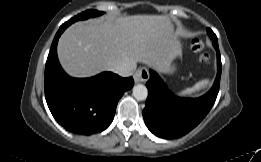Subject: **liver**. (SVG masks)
<instances>
[{
    "label": "liver",
    "mask_w": 261,
    "mask_h": 162,
    "mask_svg": "<svg viewBox=\"0 0 261 162\" xmlns=\"http://www.w3.org/2000/svg\"><path fill=\"white\" fill-rule=\"evenodd\" d=\"M178 44L168 17L132 15L77 22L63 33L57 51L66 73L89 77L133 62L161 70L174 58Z\"/></svg>",
    "instance_id": "liver-1"
}]
</instances>
